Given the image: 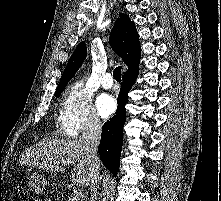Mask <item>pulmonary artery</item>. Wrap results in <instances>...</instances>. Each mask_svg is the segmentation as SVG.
<instances>
[{
	"instance_id": "1",
	"label": "pulmonary artery",
	"mask_w": 221,
	"mask_h": 201,
	"mask_svg": "<svg viewBox=\"0 0 221 201\" xmlns=\"http://www.w3.org/2000/svg\"><path fill=\"white\" fill-rule=\"evenodd\" d=\"M101 84L106 89L111 88L113 86L112 75L110 73H106L101 80Z\"/></svg>"
}]
</instances>
